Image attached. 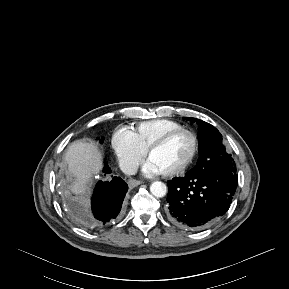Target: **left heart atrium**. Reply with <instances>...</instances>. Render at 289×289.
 Segmentation results:
<instances>
[{"mask_svg":"<svg viewBox=\"0 0 289 289\" xmlns=\"http://www.w3.org/2000/svg\"><path fill=\"white\" fill-rule=\"evenodd\" d=\"M144 170L148 174H153V175L161 174L160 170L149 160L146 162L144 166Z\"/></svg>","mask_w":289,"mask_h":289,"instance_id":"left-heart-atrium-1","label":"left heart atrium"}]
</instances>
